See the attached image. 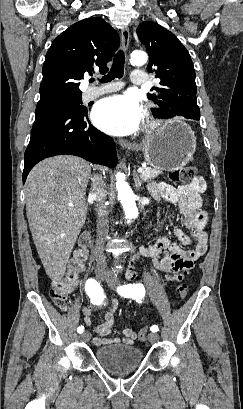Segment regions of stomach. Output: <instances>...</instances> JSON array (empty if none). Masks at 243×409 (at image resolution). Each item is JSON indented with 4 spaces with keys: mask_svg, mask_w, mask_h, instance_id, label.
Returning a JSON list of instances; mask_svg holds the SVG:
<instances>
[{
    "mask_svg": "<svg viewBox=\"0 0 243 409\" xmlns=\"http://www.w3.org/2000/svg\"><path fill=\"white\" fill-rule=\"evenodd\" d=\"M144 154L145 161L160 171H174L184 167L193 157L196 137L191 127L172 119L160 128L148 133L136 145Z\"/></svg>",
    "mask_w": 243,
    "mask_h": 409,
    "instance_id": "0dacf381",
    "label": "stomach"
}]
</instances>
